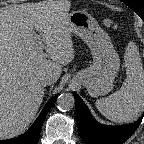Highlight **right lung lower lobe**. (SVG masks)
I'll use <instances>...</instances> for the list:
<instances>
[{
	"label": "right lung lower lobe",
	"instance_id": "1",
	"mask_svg": "<svg viewBox=\"0 0 144 144\" xmlns=\"http://www.w3.org/2000/svg\"><path fill=\"white\" fill-rule=\"evenodd\" d=\"M56 96L53 97L44 107L34 124L29 128L27 132L23 135L9 139V140H0V144H37L39 140L40 131L42 128L43 121L48 113L49 109L56 100Z\"/></svg>",
	"mask_w": 144,
	"mask_h": 144
}]
</instances>
